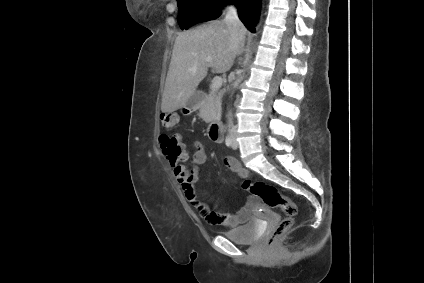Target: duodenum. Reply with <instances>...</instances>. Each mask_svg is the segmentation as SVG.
Instances as JSON below:
<instances>
[{"mask_svg": "<svg viewBox=\"0 0 424 283\" xmlns=\"http://www.w3.org/2000/svg\"><path fill=\"white\" fill-rule=\"evenodd\" d=\"M209 137L216 142H221L223 139V124L219 120H213L210 123L208 130Z\"/></svg>", "mask_w": 424, "mask_h": 283, "instance_id": "1", "label": "duodenum"}]
</instances>
